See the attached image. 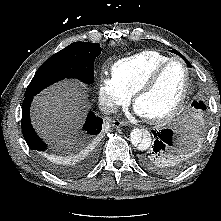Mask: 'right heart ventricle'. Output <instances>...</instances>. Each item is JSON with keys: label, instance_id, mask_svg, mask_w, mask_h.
I'll return each instance as SVG.
<instances>
[{"label": "right heart ventricle", "instance_id": "1", "mask_svg": "<svg viewBox=\"0 0 221 221\" xmlns=\"http://www.w3.org/2000/svg\"><path fill=\"white\" fill-rule=\"evenodd\" d=\"M170 57L156 50H144L116 61L112 76L131 96L151 73Z\"/></svg>", "mask_w": 221, "mask_h": 221}]
</instances>
